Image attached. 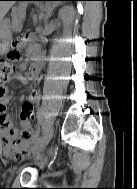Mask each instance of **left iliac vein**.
<instances>
[{
    "label": "left iliac vein",
    "mask_w": 137,
    "mask_h": 189,
    "mask_svg": "<svg viewBox=\"0 0 137 189\" xmlns=\"http://www.w3.org/2000/svg\"><path fill=\"white\" fill-rule=\"evenodd\" d=\"M53 132H54L53 124H50L47 130L45 131L43 137H41V140L37 142L35 147L31 150V153H35L42 150L52 139Z\"/></svg>",
    "instance_id": "1"
}]
</instances>
